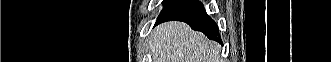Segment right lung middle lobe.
I'll return each instance as SVG.
<instances>
[{
	"label": "right lung middle lobe",
	"instance_id": "right-lung-middle-lobe-1",
	"mask_svg": "<svg viewBox=\"0 0 331 62\" xmlns=\"http://www.w3.org/2000/svg\"><path fill=\"white\" fill-rule=\"evenodd\" d=\"M179 0H164V8L161 11L160 14H162L165 10H167L169 7H171L173 4L177 3Z\"/></svg>",
	"mask_w": 331,
	"mask_h": 62
}]
</instances>
